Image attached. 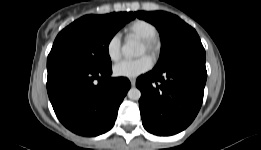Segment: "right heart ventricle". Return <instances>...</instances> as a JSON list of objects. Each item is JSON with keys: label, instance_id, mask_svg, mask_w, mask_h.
<instances>
[{"label": "right heart ventricle", "instance_id": "e07e8e85", "mask_svg": "<svg viewBox=\"0 0 261 150\" xmlns=\"http://www.w3.org/2000/svg\"><path fill=\"white\" fill-rule=\"evenodd\" d=\"M124 32L128 37L133 36L142 40L156 36L157 28L147 20L136 19L125 27Z\"/></svg>", "mask_w": 261, "mask_h": 150}]
</instances>
